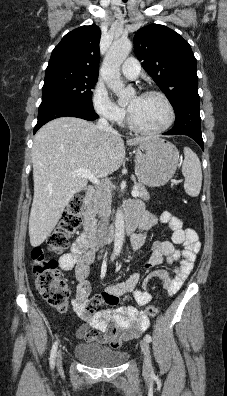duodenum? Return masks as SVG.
Instances as JSON below:
<instances>
[{
    "instance_id": "duodenum-1",
    "label": "duodenum",
    "mask_w": 227,
    "mask_h": 396,
    "mask_svg": "<svg viewBox=\"0 0 227 396\" xmlns=\"http://www.w3.org/2000/svg\"><path fill=\"white\" fill-rule=\"evenodd\" d=\"M95 189L94 188H89L85 192L84 195V204L86 211L88 212V209L94 199L95 196ZM138 225V221L135 216L131 214H127L125 223H124V229L127 233L133 232ZM114 235V227L111 226L107 231L101 233L92 223L90 218L87 216L86 219V226H85V231L83 234V237L87 243V245L92 248V249H97L101 243L109 241Z\"/></svg>"
}]
</instances>
